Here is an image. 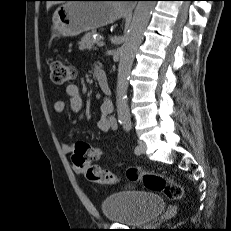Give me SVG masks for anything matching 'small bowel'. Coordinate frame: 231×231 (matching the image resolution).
I'll list each match as a JSON object with an SVG mask.
<instances>
[{
  "label": "small bowel",
  "mask_w": 231,
  "mask_h": 231,
  "mask_svg": "<svg viewBox=\"0 0 231 231\" xmlns=\"http://www.w3.org/2000/svg\"><path fill=\"white\" fill-rule=\"evenodd\" d=\"M65 94L69 99V104L73 112H80L83 107V100L80 95L79 87L75 84H69L65 88ZM66 109V103L63 100H57L54 103L55 112L61 114ZM113 104L110 99L104 98L101 106V118L97 123V127L102 132L115 131L118 129V122L116 118L112 115ZM62 150L66 154L72 152V142L69 140H64L62 142ZM74 170L77 173H84V169L75 167Z\"/></svg>",
  "instance_id": "c3829d8e"
}]
</instances>
